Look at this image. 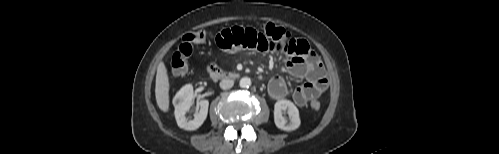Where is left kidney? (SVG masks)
<instances>
[{
    "instance_id": "obj_1",
    "label": "left kidney",
    "mask_w": 499,
    "mask_h": 154,
    "mask_svg": "<svg viewBox=\"0 0 499 154\" xmlns=\"http://www.w3.org/2000/svg\"><path fill=\"white\" fill-rule=\"evenodd\" d=\"M286 114L289 119L285 116ZM274 122L281 130H296L301 124L298 108L289 100H278L274 105Z\"/></svg>"
}]
</instances>
